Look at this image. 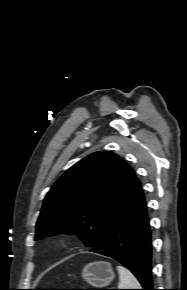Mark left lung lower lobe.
Masks as SVG:
<instances>
[{"label":"left lung lower lobe","mask_w":187,"mask_h":290,"mask_svg":"<svg viewBox=\"0 0 187 290\" xmlns=\"http://www.w3.org/2000/svg\"><path fill=\"white\" fill-rule=\"evenodd\" d=\"M90 251L117 260L137 277L143 290H155L152 279L151 230L141 187L105 239Z\"/></svg>","instance_id":"0a47b994"}]
</instances>
